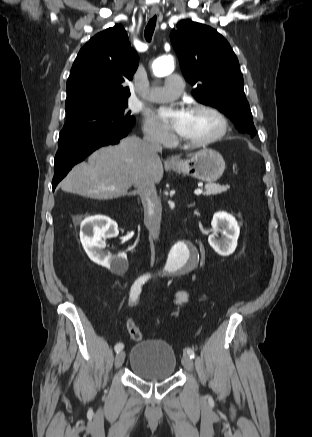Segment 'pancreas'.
<instances>
[{
	"instance_id": "cf45deb5",
	"label": "pancreas",
	"mask_w": 312,
	"mask_h": 437,
	"mask_svg": "<svg viewBox=\"0 0 312 437\" xmlns=\"http://www.w3.org/2000/svg\"><path fill=\"white\" fill-rule=\"evenodd\" d=\"M229 188L228 185L224 186V185H219V184H206L205 185V189L206 191L204 192V195H217V194H221L225 191H227V189Z\"/></svg>"
}]
</instances>
